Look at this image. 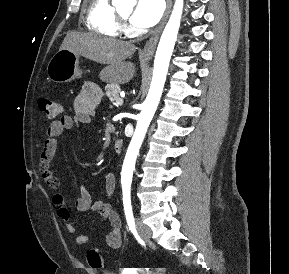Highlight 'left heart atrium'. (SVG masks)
Returning a JSON list of instances; mask_svg holds the SVG:
<instances>
[{"label": "left heart atrium", "mask_w": 289, "mask_h": 274, "mask_svg": "<svg viewBox=\"0 0 289 274\" xmlns=\"http://www.w3.org/2000/svg\"><path fill=\"white\" fill-rule=\"evenodd\" d=\"M163 10V0H138L131 21L138 27H151L160 20Z\"/></svg>", "instance_id": "1"}]
</instances>
